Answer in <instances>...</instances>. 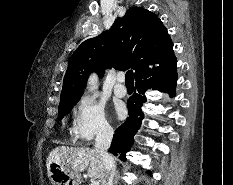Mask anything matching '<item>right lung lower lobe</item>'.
<instances>
[{
  "instance_id": "1",
  "label": "right lung lower lobe",
  "mask_w": 233,
  "mask_h": 185,
  "mask_svg": "<svg viewBox=\"0 0 233 185\" xmlns=\"http://www.w3.org/2000/svg\"><path fill=\"white\" fill-rule=\"evenodd\" d=\"M176 63V58H173L165 64L150 68L135 76L137 92L127 102L129 118L116 129L109 149L110 153L119 155V158L125 161L126 152L130 150L133 137L139 130L144 117L141 106L146 102L145 91L147 89L159 90L167 92L171 97L175 96L178 79Z\"/></svg>"
}]
</instances>
